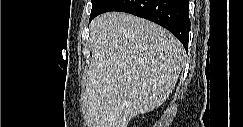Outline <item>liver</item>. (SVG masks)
<instances>
[{
    "mask_svg": "<svg viewBox=\"0 0 243 127\" xmlns=\"http://www.w3.org/2000/svg\"><path fill=\"white\" fill-rule=\"evenodd\" d=\"M92 60L83 98L88 127H127L161 106L185 64V51L169 31L122 12L90 24Z\"/></svg>",
    "mask_w": 243,
    "mask_h": 127,
    "instance_id": "liver-1",
    "label": "liver"
}]
</instances>
